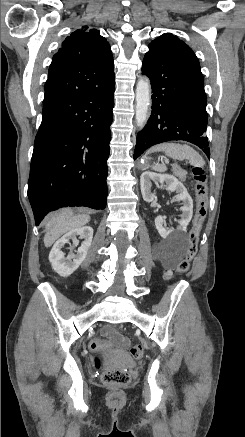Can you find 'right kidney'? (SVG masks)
<instances>
[{
  "label": "right kidney",
  "mask_w": 245,
  "mask_h": 437,
  "mask_svg": "<svg viewBox=\"0 0 245 437\" xmlns=\"http://www.w3.org/2000/svg\"><path fill=\"white\" fill-rule=\"evenodd\" d=\"M77 236L83 238L84 241L76 251V254L70 250L67 257L62 251V248L69 240L72 239L74 245L78 244ZM93 238V228L90 226H84L69 231L63 237H61L53 246L49 254V261L52 268L62 277L71 275L81 265L87 256L88 249L91 245Z\"/></svg>",
  "instance_id": "ca27d5eb"
}]
</instances>
